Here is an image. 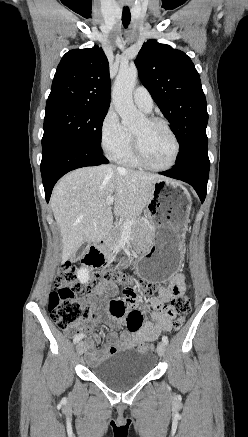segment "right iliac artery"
<instances>
[{
  "instance_id": "1",
  "label": "right iliac artery",
  "mask_w": 248,
  "mask_h": 437,
  "mask_svg": "<svg viewBox=\"0 0 248 437\" xmlns=\"http://www.w3.org/2000/svg\"><path fill=\"white\" fill-rule=\"evenodd\" d=\"M84 336H85L84 334L76 335V336L74 337L73 342H74V343L79 342V341H80Z\"/></svg>"
}]
</instances>
